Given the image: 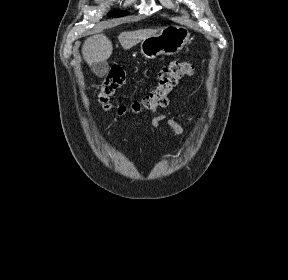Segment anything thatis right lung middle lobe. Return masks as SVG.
Returning <instances> with one entry per match:
<instances>
[{
	"label": "right lung middle lobe",
	"mask_w": 288,
	"mask_h": 280,
	"mask_svg": "<svg viewBox=\"0 0 288 280\" xmlns=\"http://www.w3.org/2000/svg\"><path fill=\"white\" fill-rule=\"evenodd\" d=\"M128 12H125V11H112L110 13H108V16H112V17H121V16H124V15H127Z\"/></svg>",
	"instance_id": "right-lung-middle-lobe-1"
}]
</instances>
